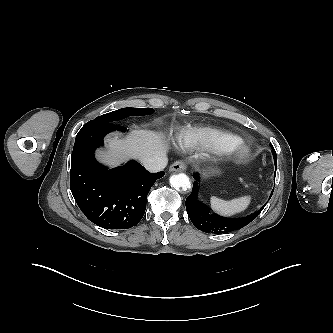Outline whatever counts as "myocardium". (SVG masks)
Instances as JSON below:
<instances>
[{
    "label": "myocardium",
    "mask_w": 333,
    "mask_h": 333,
    "mask_svg": "<svg viewBox=\"0 0 333 333\" xmlns=\"http://www.w3.org/2000/svg\"><path fill=\"white\" fill-rule=\"evenodd\" d=\"M217 149L235 158H244L248 154V148L239 140L223 143Z\"/></svg>",
    "instance_id": "1"
}]
</instances>
